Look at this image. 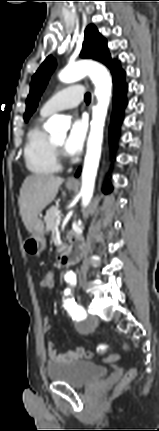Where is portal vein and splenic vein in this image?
I'll return each instance as SVG.
<instances>
[{
    "mask_svg": "<svg viewBox=\"0 0 159 431\" xmlns=\"http://www.w3.org/2000/svg\"><path fill=\"white\" fill-rule=\"evenodd\" d=\"M59 224H60V219H59V218H57V219H56V222H55V226L57 227V226H59Z\"/></svg>",
    "mask_w": 159,
    "mask_h": 431,
    "instance_id": "obj_1",
    "label": "portal vein and splenic vein"
}]
</instances>
